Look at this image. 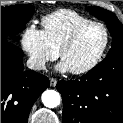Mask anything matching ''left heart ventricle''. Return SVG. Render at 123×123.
<instances>
[{
    "label": "left heart ventricle",
    "mask_w": 123,
    "mask_h": 123,
    "mask_svg": "<svg viewBox=\"0 0 123 123\" xmlns=\"http://www.w3.org/2000/svg\"><path fill=\"white\" fill-rule=\"evenodd\" d=\"M105 35L102 28L93 26L85 30L76 43L65 52L63 61L70 70L87 66L98 55L104 43Z\"/></svg>",
    "instance_id": "b2bd125f"
}]
</instances>
